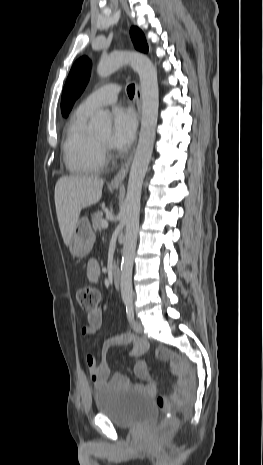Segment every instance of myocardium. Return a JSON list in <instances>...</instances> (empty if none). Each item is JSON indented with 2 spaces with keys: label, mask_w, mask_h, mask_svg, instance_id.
Here are the masks:
<instances>
[{
  "label": "myocardium",
  "mask_w": 263,
  "mask_h": 465,
  "mask_svg": "<svg viewBox=\"0 0 263 465\" xmlns=\"http://www.w3.org/2000/svg\"><path fill=\"white\" fill-rule=\"evenodd\" d=\"M99 146L102 148V150H106L107 149V143L106 142H103L101 140H99L98 138H96Z\"/></svg>",
  "instance_id": "myocardium-1"
}]
</instances>
